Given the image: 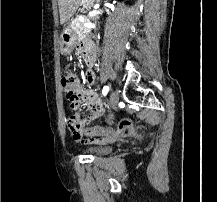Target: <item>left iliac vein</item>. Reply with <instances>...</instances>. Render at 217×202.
I'll return each mask as SVG.
<instances>
[{"instance_id":"left-iliac-vein-1","label":"left iliac vein","mask_w":217,"mask_h":202,"mask_svg":"<svg viewBox=\"0 0 217 202\" xmlns=\"http://www.w3.org/2000/svg\"><path fill=\"white\" fill-rule=\"evenodd\" d=\"M110 102H111L112 108L116 109L117 108V104L119 102L118 91H112V93L110 95Z\"/></svg>"}]
</instances>
